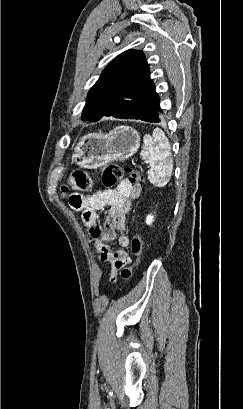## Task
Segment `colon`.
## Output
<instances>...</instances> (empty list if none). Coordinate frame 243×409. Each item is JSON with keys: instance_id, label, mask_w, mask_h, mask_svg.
<instances>
[{"instance_id": "colon-1", "label": "colon", "mask_w": 243, "mask_h": 409, "mask_svg": "<svg viewBox=\"0 0 243 409\" xmlns=\"http://www.w3.org/2000/svg\"><path fill=\"white\" fill-rule=\"evenodd\" d=\"M127 175V180L131 184H138L141 181V176L138 171L132 170L130 168H123L117 164L107 163L101 168V177L104 185L106 187H114L119 181ZM92 186V179L88 172L83 170H75L67 182L61 187L63 194L68 193L69 190H75L78 192L88 191ZM71 195L69 197L70 205H77V202L73 199ZM131 252L133 255V261L129 266H125L121 269V277L129 281L132 277V273L135 267L140 263L143 249V240L140 234H137L131 241Z\"/></svg>"}]
</instances>
